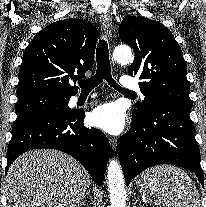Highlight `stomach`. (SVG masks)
<instances>
[{
  "mask_svg": "<svg viewBox=\"0 0 206 207\" xmlns=\"http://www.w3.org/2000/svg\"><path fill=\"white\" fill-rule=\"evenodd\" d=\"M137 185L142 189V190H146L143 185H142V182L138 181L137 180Z\"/></svg>",
  "mask_w": 206,
  "mask_h": 207,
  "instance_id": "stomach-1",
  "label": "stomach"
}]
</instances>
